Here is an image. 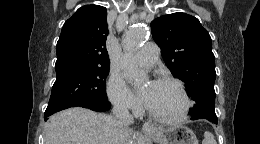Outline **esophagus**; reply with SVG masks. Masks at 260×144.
Segmentation results:
<instances>
[{
  "label": "esophagus",
  "mask_w": 260,
  "mask_h": 144,
  "mask_svg": "<svg viewBox=\"0 0 260 144\" xmlns=\"http://www.w3.org/2000/svg\"><path fill=\"white\" fill-rule=\"evenodd\" d=\"M154 129H155V127L149 122H146L143 125V130L146 131V132L147 131H153Z\"/></svg>",
  "instance_id": "esophagus-1"
}]
</instances>
